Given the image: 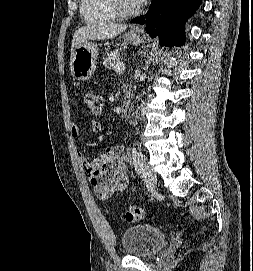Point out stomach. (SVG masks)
I'll list each match as a JSON object with an SVG mask.
<instances>
[{"instance_id": "0dacf381", "label": "stomach", "mask_w": 253, "mask_h": 271, "mask_svg": "<svg viewBox=\"0 0 253 271\" xmlns=\"http://www.w3.org/2000/svg\"><path fill=\"white\" fill-rule=\"evenodd\" d=\"M125 41L137 45L140 44L143 37L133 31L124 35ZM98 56L97 45L92 42L79 44L71 54L70 71L73 77L79 81H86L91 78L96 68V59Z\"/></svg>"}]
</instances>
